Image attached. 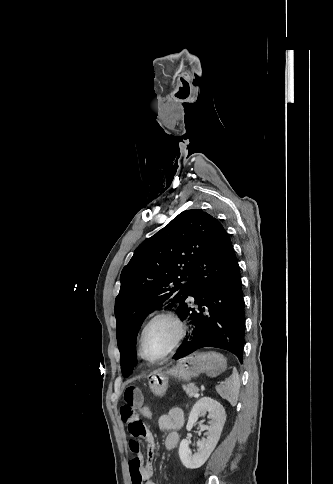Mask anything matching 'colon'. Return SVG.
<instances>
[{"mask_svg":"<svg viewBox=\"0 0 333 484\" xmlns=\"http://www.w3.org/2000/svg\"><path fill=\"white\" fill-rule=\"evenodd\" d=\"M140 413H141V416L146 419V420H150L152 419L153 417V411L150 407L148 406H143L141 409H140Z\"/></svg>","mask_w":333,"mask_h":484,"instance_id":"5ec220e1","label":"colon"}]
</instances>
